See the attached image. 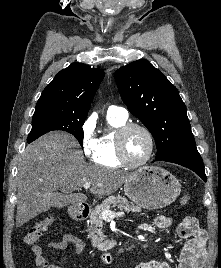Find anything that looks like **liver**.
I'll return each mask as SVG.
<instances>
[{
  "label": "liver",
  "instance_id": "6515ba94",
  "mask_svg": "<svg viewBox=\"0 0 221 268\" xmlns=\"http://www.w3.org/2000/svg\"><path fill=\"white\" fill-rule=\"evenodd\" d=\"M74 138L51 132L29 144L18 164L16 227L55 206L57 191L72 194L85 183L102 198L117 191L132 175L86 163Z\"/></svg>",
  "mask_w": 221,
  "mask_h": 268
}]
</instances>
